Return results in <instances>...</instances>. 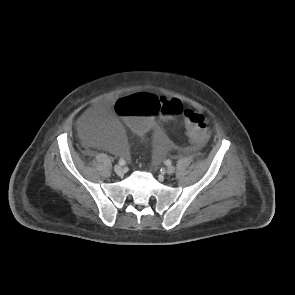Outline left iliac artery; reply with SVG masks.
<instances>
[{
	"label": "left iliac artery",
	"instance_id": "left-iliac-artery-1",
	"mask_svg": "<svg viewBox=\"0 0 295 295\" xmlns=\"http://www.w3.org/2000/svg\"><path fill=\"white\" fill-rule=\"evenodd\" d=\"M172 164V161L171 160H167L166 161V165L170 166Z\"/></svg>",
	"mask_w": 295,
	"mask_h": 295
}]
</instances>
